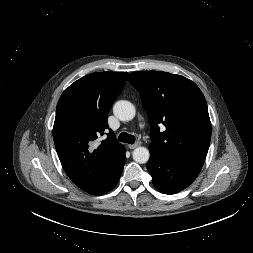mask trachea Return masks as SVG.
I'll list each match as a JSON object with an SVG mask.
<instances>
[{"label":"trachea","mask_w":253,"mask_h":253,"mask_svg":"<svg viewBox=\"0 0 253 253\" xmlns=\"http://www.w3.org/2000/svg\"><path fill=\"white\" fill-rule=\"evenodd\" d=\"M118 141L128 143V144H134L135 136L125 133V132H122L118 137Z\"/></svg>","instance_id":"3493384b"}]
</instances>
